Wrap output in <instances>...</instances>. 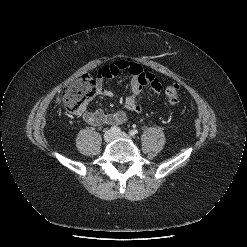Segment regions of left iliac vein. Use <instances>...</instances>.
<instances>
[{
    "label": "left iliac vein",
    "instance_id": "left-iliac-vein-1",
    "mask_svg": "<svg viewBox=\"0 0 247 247\" xmlns=\"http://www.w3.org/2000/svg\"><path fill=\"white\" fill-rule=\"evenodd\" d=\"M114 137L115 138H124V139H127V140H132V137L129 136L128 134H126L125 132H121V133L115 134Z\"/></svg>",
    "mask_w": 247,
    "mask_h": 247
}]
</instances>
